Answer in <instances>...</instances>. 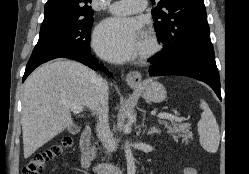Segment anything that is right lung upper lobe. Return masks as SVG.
<instances>
[{"instance_id":"cb5924a9","label":"right lung upper lobe","mask_w":249,"mask_h":174,"mask_svg":"<svg viewBox=\"0 0 249 174\" xmlns=\"http://www.w3.org/2000/svg\"><path fill=\"white\" fill-rule=\"evenodd\" d=\"M91 0H48L41 27L93 16Z\"/></svg>"}]
</instances>
